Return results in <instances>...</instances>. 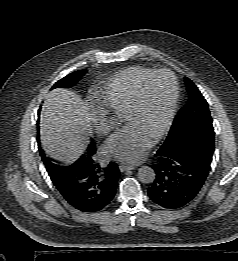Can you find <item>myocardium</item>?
<instances>
[{
    "label": "myocardium",
    "instance_id": "1",
    "mask_svg": "<svg viewBox=\"0 0 238 261\" xmlns=\"http://www.w3.org/2000/svg\"><path fill=\"white\" fill-rule=\"evenodd\" d=\"M163 74L169 75L171 77L172 84H173V92H172V98H171V103H170L168 114H167L163 124L161 125V127L158 129V131L153 136V140H155V141L160 139L168 131V129L171 127L173 120L175 118L178 101H179V82H178V78L176 77V75L169 69H159V70H154L151 73H149L139 83V85L136 89L134 99L126 112V116H127L140 109L142 102H143L144 92H145V88H146L147 84L154 77H156L158 75H163Z\"/></svg>",
    "mask_w": 238,
    "mask_h": 261
}]
</instances>
